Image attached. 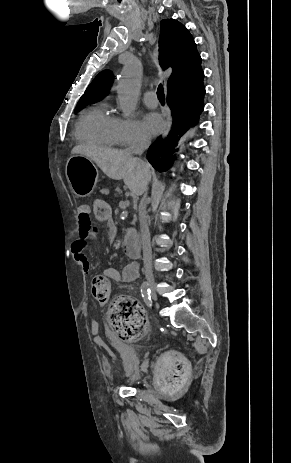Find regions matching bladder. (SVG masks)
Listing matches in <instances>:
<instances>
[{
  "label": "bladder",
  "instance_id": "1",
  "mask_svg": "<svg viewBox=\"0 0 291 463\" xmlns=\"http://www.w3.org/2000/svg\"><path fill=\"white\" fill-rule=\"evenodd\" d=\"M116 350L121 355L126 367L124 378L128 383L136 384L139 378L135 375V367L140 363L136 346L129 342L116 343Z\"/></svg>",
  "mask_w": 291,
  "mask_h": 463
}]
</instances>
